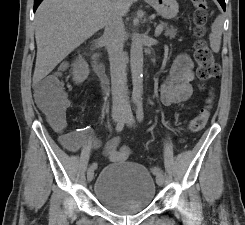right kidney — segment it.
Listing matches in <instances>:
<instances>
[{
    "instance_id": "obj_1",
    "label": "right kidney",
    "mask_w": 245,
    "mask_h": 225,
    "mask_svg": "<svg viewBox=\"0 0 245 225\" xmlns=\"http://www.w3.org/2000/svg\"><path fill=\"white\" fill-rule=\"evenodd\" d=\"M72 73H73V81L76 84H80L87 79L89 75V66L82 57H79L72 64Z\"/></svg>"
}]
</instances>
